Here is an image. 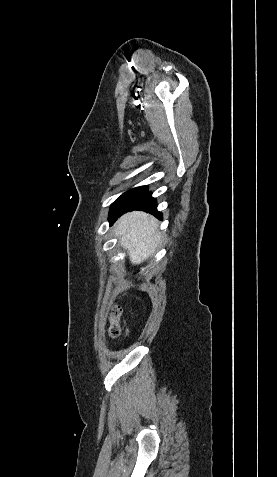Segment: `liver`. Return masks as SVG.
<instances>
[{
    "label": "liver",
    "instance_id": "6515ba94",
    "mask_svg": "<svg viewBox=\"0 0 277 477\" xmlns=\"http://www.w3.org/2000/svg\"><path fill=\"white\" fill-rule=\"evenodd\" d=\"M158 225L153 216L141 211L126 213L117 220L116 236L132 264H141L154 254L161 237Z\"/></svg>",
    "mask_w": 277,
    "mask_h": 477
}]
</instances>
